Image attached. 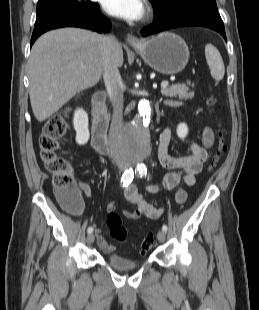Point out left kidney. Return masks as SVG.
<instances>
[{
  "label": "left kidney",
  "instance_id": "left-kidney-1",
  "mask_svg": "<svg viewBox=\"0 0 259 310\" xmlns=\"http://www.w3.org/2000/svg\"><path fill=\"white\" fill-rule=\"evenodd\" d=\"M188 134V127L185 123H180L177 127V135L180 139H184Z\"/></svg>",
  "mask_w": 259,
  "mask_h": 310
}]
</instances>
